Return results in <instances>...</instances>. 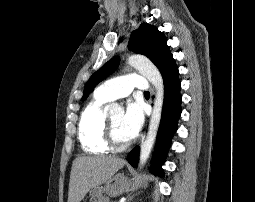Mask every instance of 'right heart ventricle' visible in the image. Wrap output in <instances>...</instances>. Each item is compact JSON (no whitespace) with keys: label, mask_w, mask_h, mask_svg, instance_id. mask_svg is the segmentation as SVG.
I'll list each match as a JSON object with an SVG mask.
<instances>
[{"label":"right heart ventricle","mask_w":255,"mask_h":202,"mask_svg":"<svg viewBox=\"0 0 255 202\" xmlns=\"http://www.w3.org/2000/svg\"><path fill=\"white\" fill-rule=\"evenodd\" d=\"M108 101L94 94L93 99L82 112L79 122V138L83 149L91 154L110 151L104 140L106 113L104 105Z\"/></svg>","instance_id":"right-heart-ventricle-1"}]
</instances>
